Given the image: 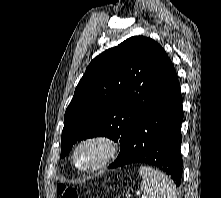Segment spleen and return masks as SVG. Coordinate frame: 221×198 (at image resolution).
<instances>
[{
  "label": "spleen",
  "mask_w": 221,
  "mask_h": 198,
  "mask_svg": "<svg viewBox=\"0 0 221 198\" xmlns=\"http://www.w3.org/2000/svg\"><path fill=\"white\" fill-rule=\"evenodd\" d=\"M139 172L144 198H177L174 185L164 173L149 166H141Z\"/></svg>",
  "instance_id": "1"
}]
</instances>
